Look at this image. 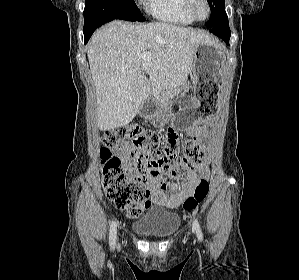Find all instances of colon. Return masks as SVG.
<instances>
[{"mask_svg":"<svg viewBox=\"0 0 299 280\" xmlns=\"http://www.w3.org/2000/svg\"><path fill=\"white\" fill-rule=\"evenodd\" d=\"M180 134L170 128L165 137L148 131L140 125L120 126L106 131L102 136L100 163L102 186L108 199L130 218L140 217L147 208L148 194L143 188V173L148 167H160L170 178L183 176L194 169L203 153L194 135H187L183 141V155L179 156ZM131 145L130 159H121L116 149ZM151 145L154 149L151 151ZM208 182L203 179L191 196L183 202L184 210L197 207L207 196Z\"/></svg>","mask_w":299,"mask_h":280,"instance_id":"1","label":"colon"}]
</instances>
